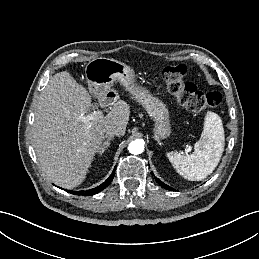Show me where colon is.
<instances>
[{"mask_svg":"<svg viewBox=\"0 0 259 259\" xmlns=\"http://www.w3.org/2000/svg\"><path fill=\"white\" fill-rule=\"evenodd\" d=\"M187 67L184 64L166 66L162 77L168 93L173 95L177 102L192 112H200L217 107L222 100L219 92L203 93L191 82L185 81Z\"/></svg>","mask_w":259,"mask_h":259,"instance_id":"1","label":"colon"}]
</instances>
